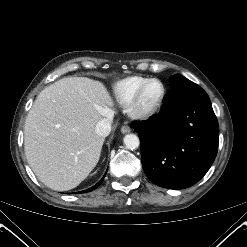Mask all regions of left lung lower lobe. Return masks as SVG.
Returning <instances> with one entry per match:
<instances>
[{"instance_id": "0a47b994", "label": "left lung lower lobe", "mask_w": 247, "mask_h": 247, "mask_svg": "<svg viewBox=\"0 0 247 247\" xmlns=\"http://www.w3.org/2000/svg\"><path fill=\"white\" fill-rule=\"evenodd\" d=\"M142 165L156 185L183 189L198 182L218 149L219 127L206 92L197 84L171 89L159 114L135 121Z\"/></svg>"}]
</instances>
